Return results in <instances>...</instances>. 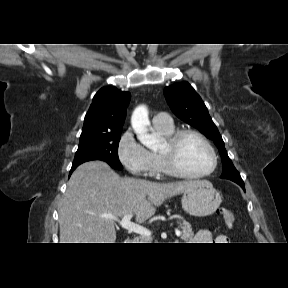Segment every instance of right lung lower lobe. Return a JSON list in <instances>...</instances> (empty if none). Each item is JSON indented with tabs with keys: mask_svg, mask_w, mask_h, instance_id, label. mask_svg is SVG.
Masks as SVG:
<instances>
[{
	"mask_svg": "<svg viewBox=\"0 0 288 288\" xmlns=\"http://www.w3.org/2000/svg\"><path fill=\"white\" fill-rule=\"evenodd\" d=\"M75 169H76V167H72L71 170H70V174H69V175H71L72 172H73Z\"/></svg>",
	"mask_w": 288,
	"mask_h": 288,
	"instance_id": "98d812e1",
	"label": "right lung lower lobe"
}]
</instances>
